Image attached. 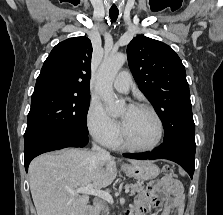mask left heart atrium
Returning <instances> with one entry per match:
<instances>
[{
	"instance_id": "1",
	"label": "left heart atrium",
	"mask_w": 223,
	"mask_h": 215,
	"mask_svg": "<svg viewBox=\"0 0 223 215\" xmlns=\"http://www.w3.org/2000/svg\"><path fill=\"white\" fill-rule=\"evenodd\" d=\"M133 109H134L133 106H129V107H128V110H129V111H132Z\"/></svg>"
}]
</instances>
